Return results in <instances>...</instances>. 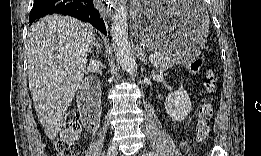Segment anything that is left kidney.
I'll return each instance as SVG.
<instances>
[{"instance_id": "1", "label": "left kidney", "mask_w": 261, "mask_h": 156, "mask_svg": "<svg viewBox=\"0 0 261 156\" xmlns=\"http://www.w3.org/2000/svg\"><path fill=\"white\" fill-rule=\"evenodd\" d=\"M164 105L167 114L175 121H183L188 116L192 109V104L182 83H180L177 91L167 96Z\"/></svg>"}]
</instances>
